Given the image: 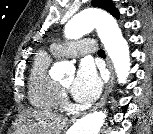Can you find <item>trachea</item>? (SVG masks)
<instances>
[{
	"label": "trachea",
	"instance_id": "trachea-1",
	"mask_svg": "<svg viewBox=\"0 0 153 134\" xmlns=\"http://www.w3.org/2000/svg\"><path fill=\"white\" fill-rule=\"evenodd\" d=\"M98 55L99 56H105L104 50H102V49L98 50Z\"/></svg>",
	"mask_w": 153,
	"mask_h": 134
}]
</instances>
